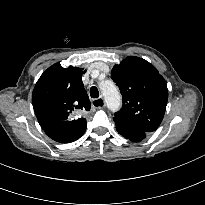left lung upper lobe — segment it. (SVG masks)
<instances>
[{"mask_svg": "<svg viewBox=\"0 0 205 205\" xmlns=\"http://www.w3.org/2000/svg\"><path fill=\"white\" fill-rule=\"evenodd\" d=\"M111 77L123 98L113 119L145 132L155 131L168 100L166 82L158 70L142 58L129 56L113 67Z\"/></svg>", "mask_w": 205, "mask_h": 205, "instance_id": "left-lung-upper-lobe-1", "label": "left lung upper lobe"}]
</instances>
